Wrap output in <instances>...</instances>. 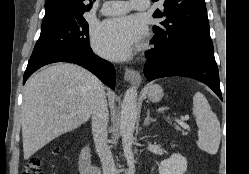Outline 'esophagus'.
Returning <instances> with one entry per match:
<instances>
[{
  "label": "esophagus",
  "mask_w": 249,
  "mask_h": 174,
  "mask_svg": "<svg viewBox=\"0 0 249 174\" xmlns=\"http://www.w3.org/2000/svg\"><path fill=\"white\" fill-rule=\"evenodd\" d=\"M124 78L128 82L139 84L141 82V76L140 73L136 70L126 68L124 73Z\"/></svg>",
  "instance_id": "34e87169"
}]
</instances>
